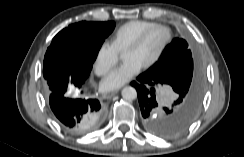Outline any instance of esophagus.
Returning <instances> with one entry per match:
<instances>
[{
  "instance_id": "1",
  "label": "esophagus",
  "mask_w": 244,
  "mask_h": 157,
  "mask_svg": "<svg viewBox=\"0 0 244 157\" xmlns=\"http://www.w3.org/2000/svg\"><path fill=\"white\" fill-rule=\"evenodd\" d=\"M118 91H111V92H107L104 94V97H106L107 99H110L111 97H113Z\"/></svg>"
}]
</instances>
